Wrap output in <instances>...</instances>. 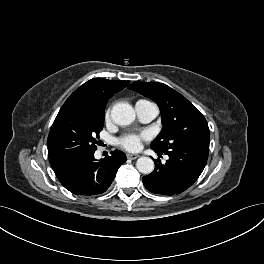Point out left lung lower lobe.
I'll return each mask as SVG.
<instances>
[{"instance_id":"obj_1","label":"left lung lower lobe","mask_w":264,"mask_h":264,"mask_svg":"<svg viewBox=\"0 0 264 264\" xmlns=\"http://www.w3.org/2000/svg\"><path fill=\"white\" fill-rule=\"evenodd\" d=\"M208 152L188 145H180L167 151L165 154L169 156V160L165 164L154 160V171L142 178L145 188L152 193L169 196L185 191L202 173Z\"/></svg>"}]
</instances>
